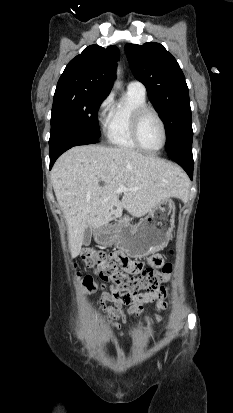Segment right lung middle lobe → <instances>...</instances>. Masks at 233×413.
<instances>
[{
	"mask_svg": "<svg viewBox=\"0 0 233 413\" xmlns=\"http://www.w3.org/2000/svg\"><path fill=\"white\" fill-rule=\"evenodd\" d=\"M106 96L81 89H56L49 142L61 136L99 138L101 133L97 113Z\"/></svg>",
	"mask_w": 233,
	"mask_h": 413,
	"instance_id": "right-lung-middle-lobe-1",
	"label": "right lung middle lobe"
}]
</instances>
